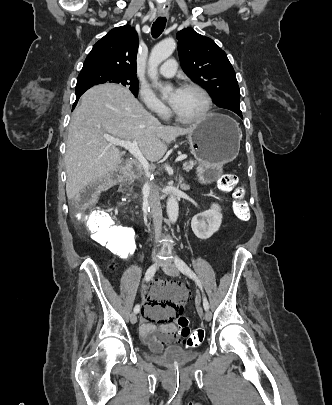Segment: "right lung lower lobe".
Returning a JSON list of instances; mask_svg holds the SVG:
<instances>
[{
    "label": "right lung lower lobe",
    "instance_id": "right-lung-lower-lobe-1",
    "mask_svg": "<svg viewBox=\"0 0 332 405\" xmlns=\"http://www.w3.org/2000/svg\"><path fill=\"white\" fill-rule=\"evenodd\" d=\"M84 92H81V93H76V101H75V103H74V105H73V107H75L76 106V104H77V102H78V99H79V97L83 94Z\"/></svg>",
    "mask_w": 332,
    "mask_h": 405
}]
</instances>
